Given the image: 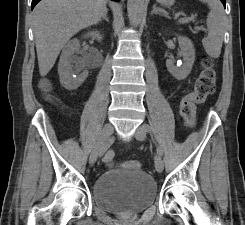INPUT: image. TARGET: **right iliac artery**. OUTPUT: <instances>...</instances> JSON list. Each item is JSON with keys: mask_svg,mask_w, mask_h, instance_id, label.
<instances>
[{"mask_svg": "<svg viewBox=\"0 0 245 225\" xmlns=\"http://www.w3.org/2000/svg\"><path fill=\"white\" fill-rule=\"evenodd\" d=\"M113 138H110L109 140H108V142L106 143V145L103 147V152L100 154V156H102L104 153H105V151L107 150V148L113 143Z\"/></svg>", "mask_w": 245, "mask_h": 225, "instance_id": "82829eb1", "label": "right iliac artery"}]
</instances>
